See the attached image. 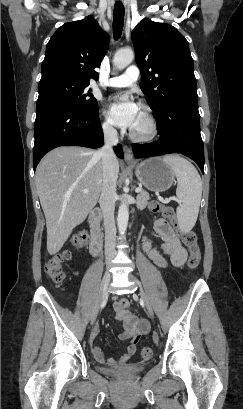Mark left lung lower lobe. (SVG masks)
<instances>
[{
  "instance_id": "obj_1",
  "label": "left lung lower lobe",
  "mask_w": 243,
  "mask_h": 409,
  "mask_svg": "<svg viewBox=\"0 0 243 409\" xmlns=\"http://www.w3.org/2000/svg\"><path fill=\"white\" fill-rule=\"evenodd\" d=\"M161 137L149 144H134L136 158L181 153L194 160L204 173V148L200 135L198 98L176 102L166 114L156 118Z\"/></svg>"
}]
</instances>
